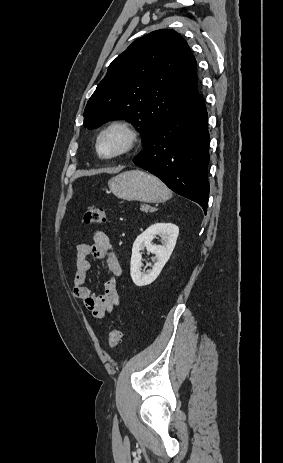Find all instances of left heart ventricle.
Listing matches in <instances>:
<instances>
[{
  "label": "left heart ventricle",
  "instance_id": "b2bd125f",
  "mask_svg": "<svg viewBox=\"0 0 283 463\" xmlns=\"http://www.w3.org/2000/svg\"><path fill=\"white\" fill-rule=\"evenodd\" d=\"M124 141L125 137L120 131L110 132L101 139L99 151L102 155L112 154L122 147Z\"/></svg>",
  "mask_w": 283,
  "mask_h": 463
}]
</instances>
